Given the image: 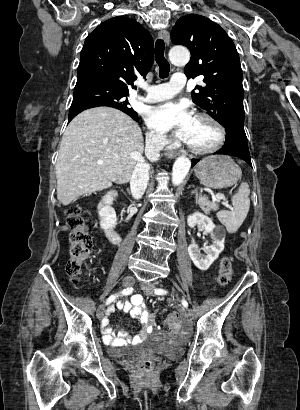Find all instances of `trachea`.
I'll list each match as a JSON object with an SVG mask.
<instances>
[{
	"label": "trachea",
	"instance_id": "3493384b",
	"mask_svg": "<svg viewBox=\"0 0 300 410\" xmlns=\"http://www.w3.org/2000/svg\"><path fill=\"white\" fill-rule=\"evenodd\" d=\"M164 41L158 39L155 43V60L159 66V77L167 78L170 72V64L164 57Z\"/></svg>",
	"mask_w": 300,
	"mask_h": 410
}]
</instances>
